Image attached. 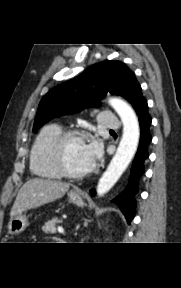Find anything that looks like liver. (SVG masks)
I'll use <instances>...</instances> for the list:
<instances>
[{"instance_id":"liver-1","label":"liver","mask_w":181,"mask_h":288,"mask_svg":"<svg viewBox=\"0 0 181 288\" xmlns=\"http://www.w3.org/2000/svg\"><path fill=\"white\" fill-rule=\"evenodd\" d=\"M69 187V183L50 179L32 178L28 180L17 194L10 212L11 218L26 210L60 199L68 191Z\"/></svg>"}]
</instances>
